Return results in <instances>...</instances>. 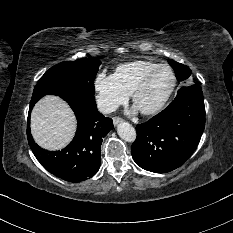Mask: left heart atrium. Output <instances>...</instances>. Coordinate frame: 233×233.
Listing matches in <instances>:
<instances>
[{
  "mask_svg": "<svg viewBox=\"0 0 233 233\" xmlns=\"http://www.w3.org/2000/svg\"><path fill=\"white\" fill-rule=\"evenodd\" d=\"M137 110H138V109H137V107L135 106L134 109H133V111L136 112Z\"/></svg>",
  "mask_w": 233,
  "mask_h": 233,
  "instance_id": "left-heart-atrium-1",
  "label": "left heart atrium"
}]
</instances>
